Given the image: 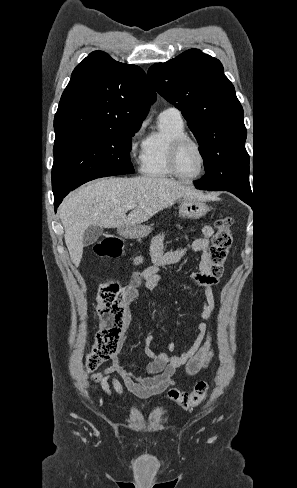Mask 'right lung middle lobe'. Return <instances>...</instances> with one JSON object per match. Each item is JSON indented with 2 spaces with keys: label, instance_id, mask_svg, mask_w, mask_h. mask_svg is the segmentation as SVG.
Returning <instances> with one entry per match:
<instances>
[{
  "label": "right lung middle lobe",
  "instance_id": "1",
  "mask_svg": "<svg viewBox=\"0 0 297 488\" xmlns=\"http://www.w3.org/2000/svg\"><path fill=\"white\" fill-rule=\"evenodd\" d=\"M139 127L81 130L56 136L54 199L96 178L134 173L129 152Z\"/></svg>",
  "mask_w": 297,
  "mask_h": 488
}]
</instances>
